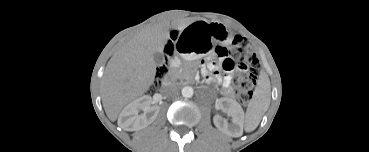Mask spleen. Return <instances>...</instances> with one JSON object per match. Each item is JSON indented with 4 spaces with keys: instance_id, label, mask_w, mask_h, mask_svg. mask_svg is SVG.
Masks as SVG:
<instances>
[{
    "instance_id": "obj_1",
    "label": "spleen",
    "mask_w": 369,
    "mask_h": 152,
    "mask_svg": "<svg viewBox=\"0 0 369 152\" xmlns=\"http://www.w3.org/2000/svg\"><path fill=\"white\" fill-rule=\"evenodd\" d=\"M270 84L267 77H262L259 88L255 91L250 103L247 116V129L252 130L259 124L262 115L267 110L270 102Z\"/></svg>"
}]
</instances>
